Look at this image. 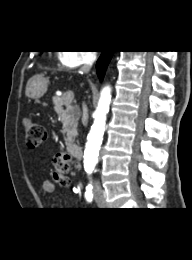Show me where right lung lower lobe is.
<instances>
[{
	"instance_id": "1",
	"label": "right lung lower lobe",
	"mask_w": 192,
	"mask_h": 260,
	"mask_svg": "<svg viewBox=\"0 0 192 260\" xmlns=\"http://www.w3.org/2000/svg\"><path fill=\"white\" fill-rule=\"evenodd\" d=\"M111 54L110 51H102L101 56L99 57L97 61V73L100 78V80L103 79L105 70L107 68V65L109 63V60L111 59Z\"/></svg>"
}]
</instances>
